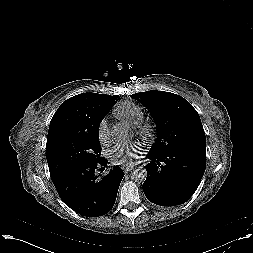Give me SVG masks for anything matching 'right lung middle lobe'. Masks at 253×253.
<instances>
[{
    "label": "right lung middle lobe",
    "mask_w": 253,
    "mask_h": 253,
    "mask_svg": "<svg viewBox=\"0 0 253 253\" xmlns=\"http://www.w3.org/2000/svg\"><path fill=\"white\" fill-rule=\"evenodd\" d=\"M98 129L99 125L87 131H63L47 144L50 175L99 162L102 157Z\"/></svg>",
    "instance_id": "obj_1"
}]
</instances>
